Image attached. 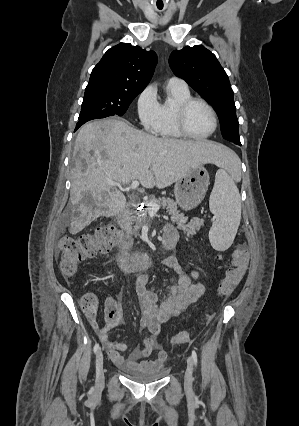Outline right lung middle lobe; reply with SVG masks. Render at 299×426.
<instances>
[{"label": "right lung middle lobe", "instance_id": "right-lung-middle-lobe-1", "mask_svg": "<svg viewBox=\"0 0 299 426\" xmlns=\"http://www.w3.org/2000/svg\"><path fill=\"white\" fill-rule=\"evenodd\" d=\"M142 91H129L107 85H87L79 119L88 115L122 116Z\"/></svg>", "mask_w": 299, "mask_h": 426}]
</instances>
